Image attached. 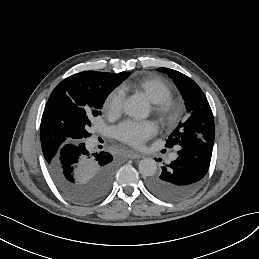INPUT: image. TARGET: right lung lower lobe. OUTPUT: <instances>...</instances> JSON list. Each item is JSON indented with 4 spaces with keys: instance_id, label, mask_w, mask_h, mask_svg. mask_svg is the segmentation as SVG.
<instances>
[{
    "instance_id": "1",
    "label": "right lung lower lobe",
    "mask_w": 259,
    "mask_h": 259,
    "mask_svg": "<svg viewBox=\"0 0 259 259\" xmlns=\"http://www.w3.org/2000/svg\"><path fill=\"white\" fill-rule=\"evenodd\" d=\"M47 167L61 193L81 205L102 199L115 174L113 156L104 151L91 153L84 142L64 145Z\"/></svg>"
}]
</instances>
